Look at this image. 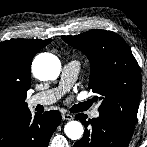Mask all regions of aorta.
Wrapping results in <instances>:
<instances>
[{
  "label": "aorta",
  "mask_w": 147,
  "mask_h": 147,
  "mask_svg": "<svg viewBox=\"0 0 147 147\" xmlns=\"http://www.w3.org/2000/svg\"><path fill=\"white\" fill-rule=\"evenodd\" d=\"M60 70V60L50 53L39 54L32 63V72L41 81L57 79ZM64 132L71 140H79L83 136L84 129L79 121H70L65 125Z\"/></svg>",
  "instance_id": "762f6f07"
}]
</instances>
